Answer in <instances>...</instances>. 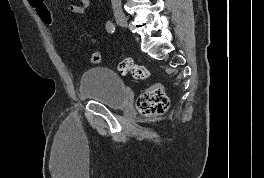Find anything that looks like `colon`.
<instances>
[{
    "instance_id": "colon-1",
    "label": "colon",
    "mask_w": 264,
    "mask_h": 178,
    "mask_svg": "<svg viewBox=\"0 0 264 178\" xmlns=\"http://www.w3.org/2000/svg\"><path fill=\"white\" fill-rule=\"evenodd\" d=\"M28 3L43 24L52 26L56 23L45 0H28ZM103 59L104 56L100 52H94L90 55V62L94 64L100 63ZM118 70L122 75H130L133 79L138 81L147 80L150 76L147 67L136 64L133 60L128 58L120 61ZM136 106L142 115L153 117L166 112L169 107V99L163 87L160 84H154L140 94Z\"/></svg>"
}]
</instances>
